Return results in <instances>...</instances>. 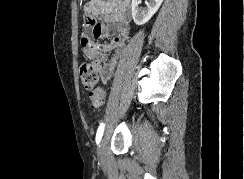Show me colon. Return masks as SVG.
Returning a JSON list of instances; mask_svg holds the SVG:
<instances>
[{"mask_svg": "<svg viewBox=\"0 0 244 179\" xmlns=\"http://www.w3.org/2000/svg\"><path fill=\"white\" fill-rule=\"evenodd\" d=\"M99 31V29L97 30ZM99 67L92 61H83L80 65V79L84 88L88 91V102L92 108H101L105 105L107 94L98 87Z\"/></svg>", "mask_w": 244, "mask_h": 179, "instance_id": "colon-1", "label": "colon"}]
</instances>
